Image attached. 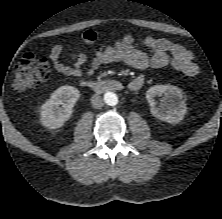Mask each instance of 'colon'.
<instances>
[{
  "label": "colon",
  "mask_w": 222,
  "mask_h": 219,
  "mask_svg": "<svg viewBox=\"0 0 222 219\" xmlns=\"http://www.w3.org/2000/svg\"><path fill=\"white\" fill-rule=\"evenodd\" d=\"M50 73V66L46 58L26 53L18 60L14 67L12 88L20 92L37 86L48 80ZM211 84L216 86L217 83L214 78H212Z\"/></svg>",
  "instance_id": "5ec220e1"
}]
</instances>
